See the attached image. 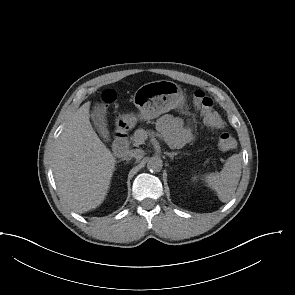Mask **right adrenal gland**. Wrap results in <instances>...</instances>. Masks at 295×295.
Instances as JSON below:
<instances>
[{
	"instance_id": "obj_1",
	"label": "right adrenal gland",
	"mask_w": 295,
	"mask_h": 295,
	"mask_svg": "<svg viewBox=\"0 0 295 295\" xmlns=\"http://www.w3.org/2000/svg\"><path fill=\"white\" fill-rule=\"evenodd\" d=\"M124 160H126V162H128L130 160V158L124 157V158L120 159L118 162H121V161H124Z\"/></svg>"
}]
</instances>
